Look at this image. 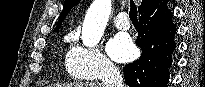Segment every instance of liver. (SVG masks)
<instances>
[{
	"label": "liver",
	"instance_id": "obj_1",
	"mask_svg": "<svg viewBox=\"0 0 205 87\" xmlns=\"http://www.w3.org/2000/svg\"><path fill=\"white\" fill-rule=\"evenodd\" d=\"M53 87H105L104 84L101 83H82V82H74V83H64V84H56Z\"/></svg>",
	"mask_w": 205,
	"mask_h": 87
}]
</instances>
